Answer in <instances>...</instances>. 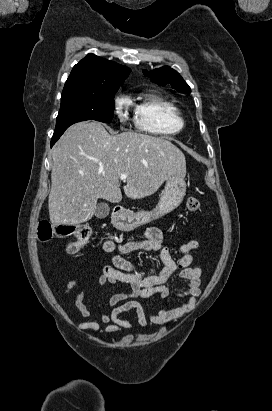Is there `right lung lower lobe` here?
Segmentation results:
<instances>
[{
    "instance_id": "1",
    "label": "right lung lower lobe",
    "mask_w": 272,
    "mask_h": 411,
    "mask_svg": "<svg viewBox=\"0 0 272 411\" xmlns=\"http://www.w3.org/2000/svg\"><path fill=\"white\" fill-rule=\"evenodd\" d=\"M59 138H60V136H59V137H56V138H52V140H51V147L55 144V142H56Z\"/></svg>"
}]
</instances>
